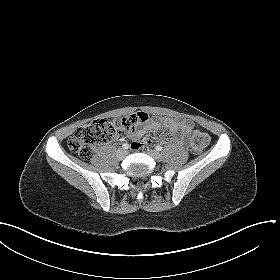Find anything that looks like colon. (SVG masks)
I'll return each mask as SVG.
<instances>
[{
  "instance_id": "colon-1",
  "label": "colon",
  "mask_w": 280,
  "mask_h": 280,
  "mask_svg": "<svg viewBox=\"0 0 280 280\" xmlns=\"http://www.w3.org/2000/svg\"><path fill=\"white\" fill-rule=\"evenodd\" d=\"M147 119L145 113L133 114L121 120L98 119L76 129L69 137L68 146L83 159L93 157L95 150L101 144L112 141L124 131H131L137 124L143 123ZM209 143V136L198 129L192 131L190 135V146L193 152H201ZM141 143L132 142V149H139Z\"/></svg>"
}]
</instances>
